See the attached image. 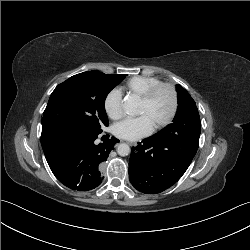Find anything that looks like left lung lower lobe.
Instances as JSON below:
<instances>
[{
    "instance_id": "0a47b994",
    "label": "left lung lower lobe",
    "mask_w": 250,
    "mask_h": 250,
    "mask_svg": "<svg viewBox=\"0 0 250 250\" xmlns=\"http://www.w3.org/2000/svg\"><path fill=\"white\" fill-rule=\"evenodd\" d=\"M201 122H188L155 134L132 148L129 161L131 184L146 194L174 185L189 167L199 146Z\"/></svg>"
}]
</instances>
